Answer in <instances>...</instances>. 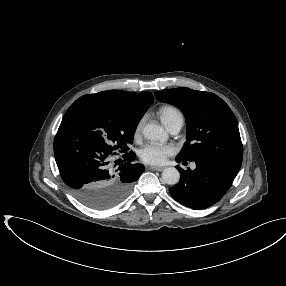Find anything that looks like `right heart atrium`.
<instances>
[{
	"label": "right heart atrium",
	"instance_id": "obj_1",
	"mask_svg": "<svg viewBox=\"0 0 286 286\" xmlns=\"http://www.w3.org/2000/svg\"><path fill=\"white\" fill-rule=\"evenodd\" d=\"M144 118H142L135 126L134 135L135 137L140 136L143 128Z\"/></svg>",
	"mask_w": 286,
	"mask_h": 286
}]
</instances>
